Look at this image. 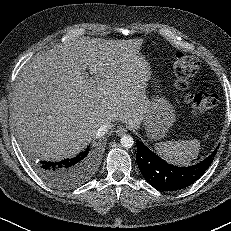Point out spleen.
Returning <instances> with one entry per match:
<instances>
[{
	"label": "spleen",
	"instance_id": "spleen-1",
	"mask_svg": "<svg viewBox=\"0 0 231 231\" xmlns=\"http://www.w3.org/2000/svg\"><path fill=\"white\" fill-rule=\"evenodd\" d=\"M154 148L167 162L187 166L198 157L200 142L197 139L166 141L156 143Z\"/></svg>",
	"mask_w": 231,
	"mask_h": 231
}]
</instances>
